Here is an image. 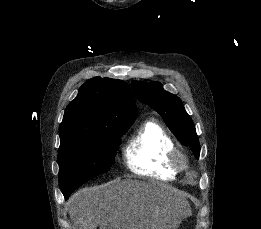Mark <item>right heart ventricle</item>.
I'll list each match as a JSON object with an SVG mask.
<instances>
[{"mask_svg":"<svg viewBox=\"0 0 261 229\" xmlns=\"http://www.w3.org/2000/svg\"><path fill=\"white\" fill-rule=\"evenodd\" d=\"M174 147L165 128L155 119H148L128 140L123 155L127 167L133 172L175 175L177 171L170 164Z\"/></svg>","mask_w":261,"mask_h":229,"instance_id":"1","label":"right heart ventricle"}]
</instances>
